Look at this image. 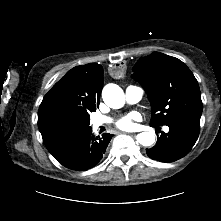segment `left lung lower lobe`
I'll use <instances>...</instances> for the list:
<instances>
[{
	"instance_id": "obj_1",
	"label": "left lung lower lobe",
	"mask_w": 221,
	"mask_h": 221,
	"mask_svg": "<svg viewBox=\"0 0 221 221\" xmlns=\"http://www.w3.org/2000/svg\"><path fill=\"white\" fill-rule=\"evenodd\" d=\"M201 115H190L172 119L165 125L169 132L160 135L154 147L147 149V155L160 162H174L186 156L196 143L200 131ZM160 129L159 126L151 125Z\"/></svg>"
}]
</instances>
